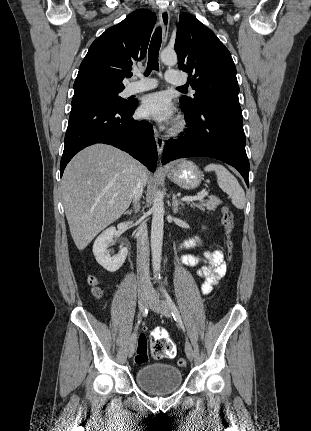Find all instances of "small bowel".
I'll return each mask as SVG.
<instances>
[{
    "mask_svg": "<svg viewBox=\"0 0 311 431\" xmlns=\"http://www.w3.org/2000/svg\"><path fill=\"white\" fill-rule=\"evenodd\" d=\"M197 242V238H191L185 241L183 246L190 249L196 246ZM182 261L189 266H199L197 273L203 278L202 290L204 293H209L213 287L218 285L227 272V265L221 250L206 251L203 257L186 254L182 256ZM151 335L152 338L159 335L167 337V334L160 329L154 330Z\"/></svg>",
    "mask_w": 311,
    "mask_h": 431,
    "instance_id": "c3829d8e",
    "label": "small bowel"
}]
</instances>
